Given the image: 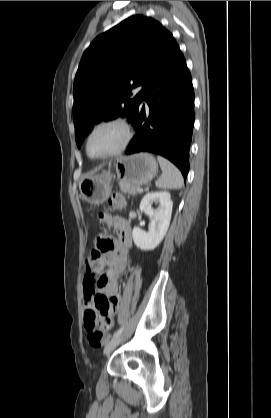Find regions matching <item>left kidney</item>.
<instances>
[{
  "label": "left kidney",
  "instance_id": "5707ae66",
  "mask_svg": "<svg viewBox=\"0 0 271 418\" xmlns=\"http://www.w3.org/2000/svg\"><path fill=\"white\" fill-rule=\"evenodd\" d=\"M153 203H159V208L154 210ZM173 203L169 192L147 193L140 203V210L150 218L148 232L139 227H134L132 236L134 243L141 250H153L163 240L166 235L172 214Z\"/></svg>",
  "mask_w": 271,
  "mask_h": 418
}]
</instances>
